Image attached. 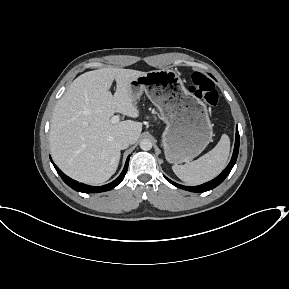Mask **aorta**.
<instances>
[{"instance_id":"762f6f07","label":"aorta","mask_w":289,"mask_h":289,"mask_svg":"<svg viewBox=\"0 0 289 289\" xmlns=\"http://www.w3.org/2000/svg\"><path fill=\"white\" fill-rule=\"evenodd\" d=\"M140 148L144 151H148L152 148V142L149 139H143L140 142Z\"/></svg>"}]
</instances>
